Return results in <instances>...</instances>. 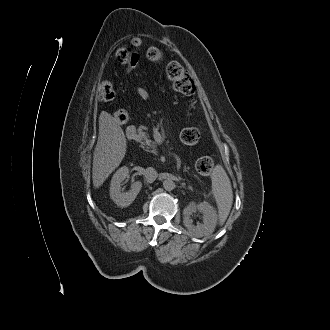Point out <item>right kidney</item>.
Returning <instances> with one entry per match:
<instances>
[{"instance_id": "ca27d5eb", "label": "right kidney", "mask_w": 330, "mask_h": 330, "mask_svg": "<svg viewBox=\"0 0 330 330\" xmlns=\"http://www.w3.org/2000/svg\"><path fill=\"white\" fill-rule=\"evenodd\" d=\"M129 177V169L126 166L119 168L112 177L110 184V198L120 207H127L135 200L141 190L142 183L136 181L131 184L127 192H122L121 183Z\"/></svg>"}]
</instances>
